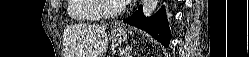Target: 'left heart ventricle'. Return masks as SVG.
Returning <instances> with one entry per match:
<instances>
[{
  "label": "left heart ventricle",
  "instance_id": "obj_1",
  "mask_svg": "<svg viewBox=\"0 0 249 57\" xmlns=\"http://www.w3.org/2000/svg\"><path fill=\"white\" fill-rule=\"evenodd\" d=\"M119 4H120V2L117 0H107L106 1V6H107V9H109V10L116 9Z\"/></svg>",
  "mask_w": 249,
  "mask_h": 57
}]
</instances>
